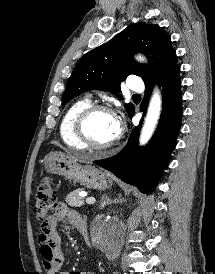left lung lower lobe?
Instances as JSON below:
<instances>
[{
	"instance_id": "left-lung-lower-lobe-1",
	"label": "left lung lower lobe",
	"mask_w": 215,
	"mask_h": 274,
	"mask_svg": "<svg viewBox=\"0 0 215 274\" xmlns=\"http://www.w3.org/2000/svg\"><path fill=\"white\" fill-rule=\"evenodd\" d=\"M162 87V112L158 127L148 145L138 146L139 130L135 127L128 144L117 155L94 161V163L111 171L128 184L135 185L146 194H150L168 164L176 145L177 134L181 127L182 92L179 65L169 71L161 79L145 84V96L141 103V111L146 112L153 84ZM134 115V111L130 117Z\"/></svg>"
}]
</instances>
